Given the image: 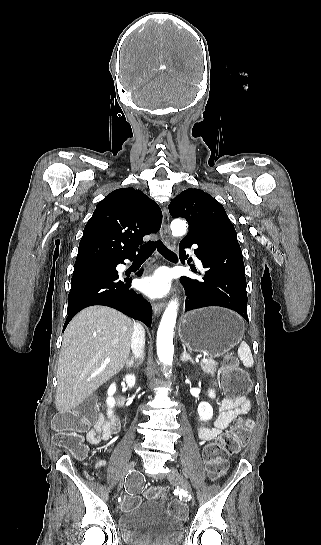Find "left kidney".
<instances>
[{
    "label": "left kidney",
    "mask_w": 321,
    "mask_h": 545,
    "mask_svg": "<svg viewBox=\"0 0 321 545\" xmlns=\"http://www.w3.org/2000/svg\"><path fill=\"white\" fill-rule=\"evenodd\" d=\"M208 397H210V399H215V391H212V389H210V391H208ZM197 411L200 417V421H210V419H212L213 417V409L211 405H209V403H200V405H198Z\"/></svg>",
    "instance_id": "left-kidney-1"
}]
</instances>
